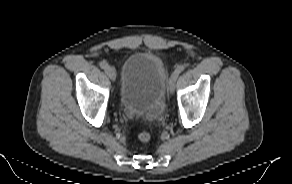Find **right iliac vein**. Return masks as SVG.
Masks as SVG:
<instances>
[{
	"label": "right iliac vein",
	"mask_w": 292,
	"mask_h": 184,
	"mask_svg": "<svg viewBox=\"0 0 292 184\" xmlns=\"http://www.w3.org/2000/svg\"><path fill=\"white\" fill-rule=\"evenodd\" d=\"M106 74L109 76V78L113 81L116 79V70L113 67H108L106 69Z\"/></svg>",
	"instance_id": "obj_1"
}]
</instances>
